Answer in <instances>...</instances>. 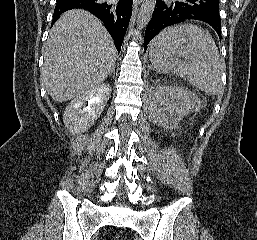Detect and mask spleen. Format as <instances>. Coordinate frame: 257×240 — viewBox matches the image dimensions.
<instances>
[{
    "label": "spleen",
    "instance_id": "3e777b00",
    "mask_svg": "<svg viewBox=\"0 0 257 240\" xmlns=\"http://www.w3.org/2000/svg\"><path fill=\"white\" fill-rule=\"evenodd\" d=\"M149 56L159 73H174L210 95L222 92L224 61L202 27L181 24L162 30L151 42Z\"/></svg>",
    "mask_w": 257,
    "mask_h": 240
}]
</instances>
